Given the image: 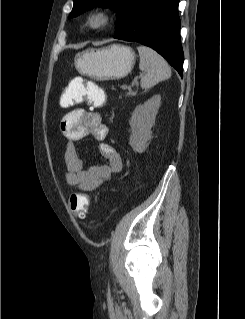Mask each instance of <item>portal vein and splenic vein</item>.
Returning <instances> with one entry per match:
<instances>
[{"mask_svg": "<svg viewBox=\"0 0 245 319\" xmlns=\"http://www.w3.org/2000/svg\"><path fill=\"white\" fill-rule=\"evenodd\" d=\"M121 88L124 89V90L128 89V87L126 85H122Z\"/></svg>", "mask_w": 245, "mask_h": 319, "instance_id": "1", "label": "portal vein and splenic vein"}]
</instances>
